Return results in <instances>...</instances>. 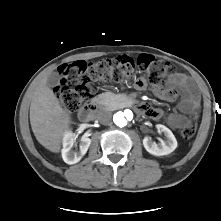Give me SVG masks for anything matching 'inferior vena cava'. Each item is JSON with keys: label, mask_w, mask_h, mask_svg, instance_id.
Instances as JSON below:
<instances>
[{"label": "inferior vena cava", "mask_w": 221, "mask_h": 221, "mask_svg": "<svg viewBox=\"0 0 221 221\" xmlns=\"http://www.w3.org/2000/svg\"><path fill=\"white\" fill-rule=\"evenodd\" d=\"M112 114L111 112L107 110L100 111L97 114V119L102 123V124H108L111 121Z\"/></svg>", "instance_id": "inferior-vena-cava-1"}]
</instances>
